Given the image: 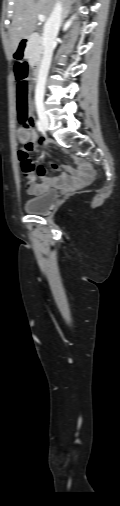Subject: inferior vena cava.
Returning <instances> with one entry per match:
<instances>
[{
	"mask_svg": "<svg viewBox=\"0 0 120 506\" xmlns=\"http://www.w3.org/2000/svg\"><path fill=\"white\" fill-rule=\"evenodd\" d=\"M62 2L57 0L50 17L44 25L43 31V47L44 53L39 69L38 82L35 89V101L43 102L45 83L48 71L51 64L53 49L55 46V39L57 37L60 25L62 23Z\"/></svg>",
	"mask_w": 120,
	"mask_h": 506,
	"instance_id": "inferior-vena-cava-1",
	"label": "inferior vena cava"
}]
</instances>
